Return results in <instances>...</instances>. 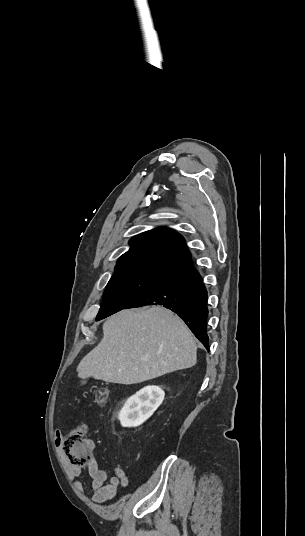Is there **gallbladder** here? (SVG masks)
Wrapping results in <instances>:
<instances>
[{
    "instance_id": "1",
    "label": "gallbladder",
    "mask_w": 305,
    "mask_h": 536,
    "mask_svg": "<svg viewBox=\"0 0 305 536\" xmlns=\"http://www.w3.org/2000/svg\"><path fill=\"white\" fill-rule=\"evenodd\" d=\"M81 384H86L85 380H82Z\"/></svg>"
}]
</instances>
